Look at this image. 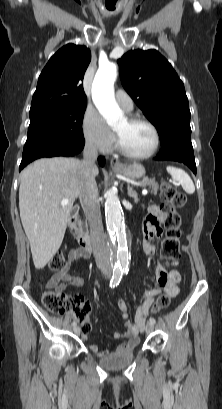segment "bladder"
Instances as JSON below:
<instances>
[{
	"mask_svg": "<svg viewBox=\"0 0 222 409\" xmlns=\"http://www.w3.org/2000/svg\"><path fill=\"white\" fill-rule=\"evenodd\" d=\"M133 356V349L119 350L101 359L100 365L108 370L122 369L130 364Z\"/></svg>",
	"mask_w": 222,
	"mask_h": 409,
	"instance_id": "obj_1",
	"label": "bladder"
}]
</instances>
